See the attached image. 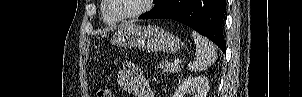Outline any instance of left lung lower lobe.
<instances>
[{
    "label": "left lung lower lobe",
    "mask_w": 302,
    "mask_h": 97,
    "mask_svg": "<svg viewBox=\"0 0 302 97\" xmlns=\"http://www.w3.org/2000/svg\"><path fill=\"white\" fill-rule=\"evenodd\" d=\"M225 9L226 0H157L153 9L139 19H174L206 36L225 52Z\"/></svg>",
    "instance_id": "0a47b994"
}]
</instances>
